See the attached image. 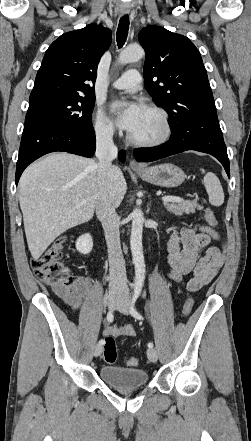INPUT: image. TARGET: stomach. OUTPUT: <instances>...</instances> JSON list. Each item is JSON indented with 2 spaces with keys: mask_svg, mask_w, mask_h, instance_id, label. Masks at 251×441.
I'll return each mask as SVG.
<instances>
[{
  "mask_svg": "<svg viewBox=\"0 0 251 441\" xmlns=\"http://www.w3.org/2000/svg\"><path fill=\"white\" fill-rule=\"evenodd\" d=\"M135 172L146 182L161 187H177L181 185L186 175L178 166L170 163L147 167Z\"/></svg>",
  "mask_w": 251,
  "mask_h": 441,
  "instance_id": "0dacf381",
  "label": "stomach"
}]
</instances>
